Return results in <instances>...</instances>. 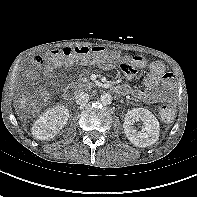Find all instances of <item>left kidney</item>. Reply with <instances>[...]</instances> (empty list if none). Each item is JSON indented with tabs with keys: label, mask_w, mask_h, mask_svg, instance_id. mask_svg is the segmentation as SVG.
<instances>
[{
	"label": "left kidney",
	"mask_w": 197,
	"mask_h": 197,
	"mask_svg": "<svg viewBox=\"0 0 197 197\" xmlns=\"http://www.w3.org/2000/svg\"><path fill=\"white\" fill-rule=\"evenodd\" d=\"M141 121V131L134 128V121ZM124 133L136 147H147L155 144L159 138L160 126L157 118L145 108H135L126 114L123 124Z\"/></svg>",
	"instance_id": "1"
}]
</instances>
